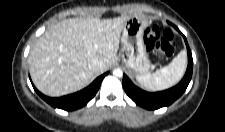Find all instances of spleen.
<instances>
[{
	"label": "spleen",
	"mask_w": 225,
	"mask_h": 132,
	"mask_svg": "<svg viewBox=\"0 0 225 132\" xmlns=\"http://www.w3.org/2000/svg\"><path fill=\"white\" fill-rule=\"evenodd\" d=\"M187 64V53L181 51L168 65L153 74L137 75L136 80L144 88L151 91L168 89L183 77Z\"/></svg>",
	"instance_id": "1"
}]
</instances>
